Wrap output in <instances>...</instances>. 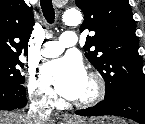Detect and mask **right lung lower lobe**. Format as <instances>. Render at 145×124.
<instances>
[{"mask_svg": "<svg viewBox=\"0 0 145 124\" xmlns=\"http://www.w3.org/2000/svg\"><path fill=\"white\" fill-rule=\"evenodd\" d=\"M26 103L23 85L0 84V110L21 109L26 106Z\"/></svg>", "mask_w": 145, "mask_h": 124, "instance_id": "1", "label": "right lung lower lobe"}]
</instances>
